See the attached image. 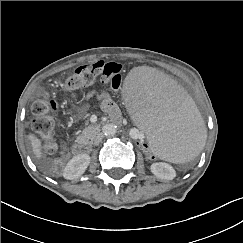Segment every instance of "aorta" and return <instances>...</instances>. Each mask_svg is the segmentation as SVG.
<instances>
[{
	"instance_id": "762f6f07",
	"label": "aorta",
	"mask_w": 243,
	"mask_h": 243,
	"mask_svg": "<svg viewBox=\"0 0 243 243\" xmlns=\"http://www.w3.org/2000/svg\"><path fill=\"white\" fill-rule=\"evenodd\" d=\"M117 130V126L113 123H108L103 126V133L105 136H114Z\"/></svg>"
}]
</instances>
